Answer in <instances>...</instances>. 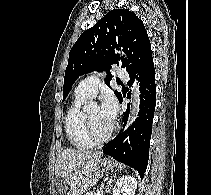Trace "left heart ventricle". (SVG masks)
Instances as JSON below:
<instances>
[{
	"label": "left heart ventricle",
	"instance_id": "1",
	"mask_svg": "<svg viewBox=\"0 0 211 195\" xmlns=\"http://www.w3.org/2000/svg\"><path fill=\"white\" fill-rule=\"evenodd\" d=\"M89 117L92 122L93 130L96 135L103 136L105 135L110 128L112 127V123L108 122L101 114L100 109L98 107H93L87 110Z\"/></svg>",
	"mask_w": 211,
	"mask_h": 195
}]
</instances>
